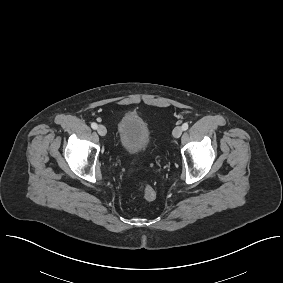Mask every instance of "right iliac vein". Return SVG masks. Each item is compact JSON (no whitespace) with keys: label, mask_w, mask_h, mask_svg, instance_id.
Returning a JSON list of instances; mask_svg holds the SVG:
<instances>
[{"label":"right iliac vein","mask_w":283,"mask_h":283,"mask_svg":"<svg viewBox=\"0 0 283 283\" xmlns=\"http://www.w3.org/2000/svg\"><path fill=\"white\" fill-rule=\"evenodd\" d=\"M97 132H98V134H99L100 136H105L106 133H107V130H106L105 126L99 125V126L97 127Z\"/></svg>","instance_id":"obj_1"}]
</instances>
